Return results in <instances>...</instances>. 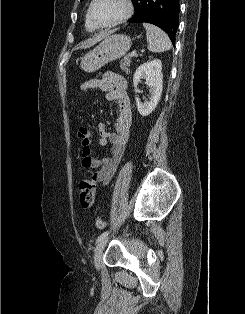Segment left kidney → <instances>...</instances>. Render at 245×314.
Segmentation results:
<instances>
[{
    "mask_svg": "<svg viewBox=\"0 0 245 314\" xmlns=\"http://www.w3.org/2000/svg\"><path fill=\"white\" fill-rule=\"evenodd\" d=\"M162 63L159 59L146 62L140 65L134 73L133 84L136 88L142 78L146 79V84L150 87V101L141 103L136 97V105L140 115H150L158 105L163 89V76L161 73Z\"/></svg>",
    "mask_w": 245,
    "mask_h": 314,
    "instance_id": "obj_1",
    "label": "left kidney"
}]
</instances>
